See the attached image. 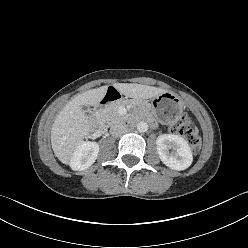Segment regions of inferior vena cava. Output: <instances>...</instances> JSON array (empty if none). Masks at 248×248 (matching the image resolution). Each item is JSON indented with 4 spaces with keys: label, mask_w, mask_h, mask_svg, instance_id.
<instances>
[{
    "label": "inferior vena cava",
    "mask_w": 248,
    "mask_h": 248,
    "mask_svg": "<svg viewBox=\"0 0 248 248\" xmlns=\"http://www.w3.org/2000/svg\"><path fill=\"white\" fill-rule=\"evenodd\" d=\"M127 132V126L123 123L113 124L110 128V133L114 137H119Z\"/></svg>",
    "instance_id": "602c4592"
}]
</instances>
